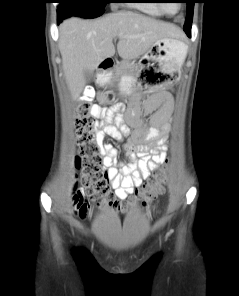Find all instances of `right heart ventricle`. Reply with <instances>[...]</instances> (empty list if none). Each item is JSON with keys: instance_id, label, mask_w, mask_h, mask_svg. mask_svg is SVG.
<instances>
[{"instance_id": "e07e8e85", "label": "right heart ventricle", "mask_w": 239, "mask_h": 296, "mask_svg": "<svg viewBox=\"0 0 239 296\" xmlns=\"http://www.w3.org/2000/svg\"><path fill=\"white\" fill-rule=\"evenodd\" d=\"M156 0H141L139 3L134 4L136 8L141 10L144 13L153 15V16H162L163 12L160 10Z\"/></svg>"}]
</instances>
